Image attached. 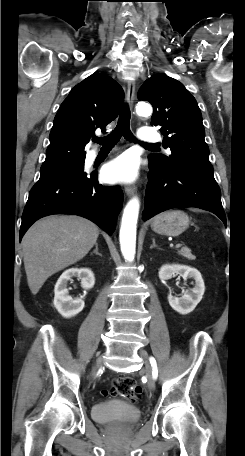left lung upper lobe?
Returning a JSON list of instances; mask_svg holds the SVG:
<instances>
[{
    "mask_svg": "<svg viewBox=\"0 0 245 456\" xmlns=\"http://www.w3.org/2000/svg\"><path fill=\"white\" fill-rule=\"evenodd\" d=\"M138 98L152 104V125L161 126L162 144L171 149L168 157L150 154V161L161 167L177 164L213 171L201 111L182 83L166 75H153L140 88Z\"/></svg>",
    "mask_w": 245,
    "mask_h": 456,
    "instance_id": "1",
    "label": "left lung upper lobe"
}]
</instances>
